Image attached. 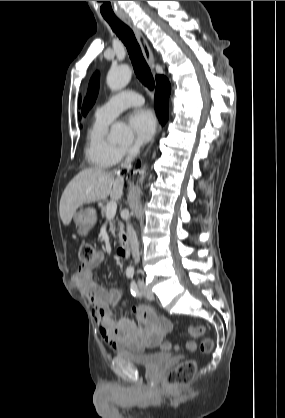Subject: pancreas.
<instances>
[{"instance_id":"cf45deb5","label":"pancreas","mask_w":285,"mask_h":418,"mask_svg":"<svg viewBox=\"0 0 285 418\" xmlns=\"http://www.w3.org/2000/svg\"><path fill=\"white\" fill-rule=\"evenodd\" d=\"M102 216L103 217H105L106 216V208L105 207H103L102 208ZM122 223L121 222H118V226H117V230H119L120 232L122 231ZM109 231L113 234V235H115V231H116V226H115V222L112 220V221H110V229H109ZM119 237H120V241H122V235H121V233L119 234Z\"/></svg>"}]
</instances>
